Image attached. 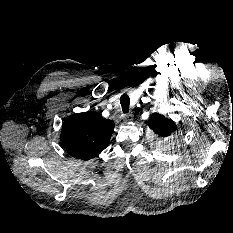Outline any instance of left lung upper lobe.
Masks as SVG:
<instances>
[{"label":"left lung upper lobe","instance_id":"1","mask_svg":"<svg viewBox=\"0 0 233 233\" xmlns=\"http://www.w3.org/2000/svg\"><path fill=\"white\" fill-rule=\"evenodd\" d=\"M148 126L159 137L163 138L170 136L176 130L174 121L164 117L159 113H153L151 115L150 120L148 121Z\"/></svg>","mask_w":233,"mask_h":233}]
</instances>
